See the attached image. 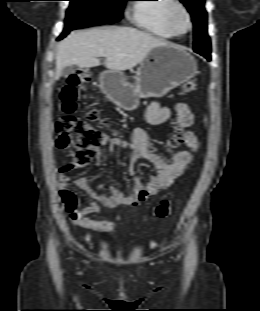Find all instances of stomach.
I'll return each mask as SVG.
<instances>
[{"mask_svg": "<svg viewBox=\"0 0 260 311\" xmlns=\"http://www.w3.org/2000/svg\"><path fill=\"white\" fill-rule=\"evenodd\" d=\"M198 73L195 58L184 48L166 44L153 48L140 63L135 84L126 82L120 71L100 74V88L116 105L133 110L139 98L162 97Z\"/></svg>", "mask_w": 260, "mask_h": 311, "instance_id": "stomach-1", "label": "stomach"}]
</instances>
